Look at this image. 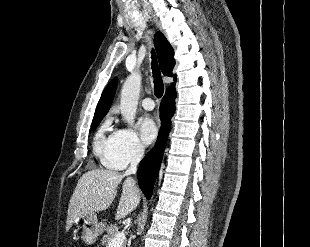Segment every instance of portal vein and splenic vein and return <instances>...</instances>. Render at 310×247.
Returning a JSON list of instances; mask_svg holds the SVG:
<instances>
[{"mask_svg": "<svg viewBox=\"0 0 310 247\" xmlns=\"http://www.w3.org/2000/svg\"><path fill=\"white\" fill-rule=\"evenodd\" d=\"M125 240V233L119 232L116 236L109 242L108 247H121Z\"/></svg>", "mask_w": 310, "mask_h": 247, "instance_id": "portal-vein-and-splenic-vein-1", "label": "portal vein and splenic vein"}]
</instances>
